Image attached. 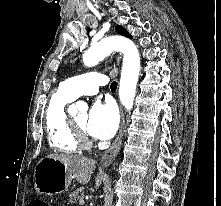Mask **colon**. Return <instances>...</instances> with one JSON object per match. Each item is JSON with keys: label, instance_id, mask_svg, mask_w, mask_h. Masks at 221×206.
<instances>
[{"label": "colon", "instance_id": "1", "mask_svg": "<svg viewBox=\"0 0 221 206\" xmlns=\"http://www.w3.org/2000/svg\"><path fill=\"white\" fill-rule=\"evenodd\" d=\"M29 206H50V205L43 200H34L29 204Z\"/></svg>", "mask_w": 221, "mask_h": 206}]
</instances>
